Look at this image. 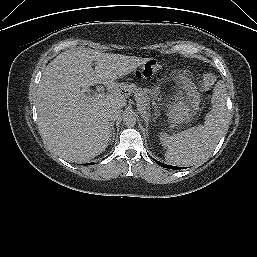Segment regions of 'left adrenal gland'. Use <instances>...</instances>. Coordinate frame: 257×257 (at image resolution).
I'll use <instances>...</instances> for the list:
<instances>
[{
	"instance_id": "left-adrenal-gland-1",
	"label": "left adrenal gland",
	"mask_w": 257,
	"mask_h": 257,
	"mask_svg": "<svg viewBox=\"0 0 257 257\" xmlns=\"http://www.w3.org/2000/svg\"><path fill=\"white\" fill-rule=\"evenodd\" d=\"M143 118H144V121H145V124H146V128H148V125H149V116L148 115H144L143 116Z\"/></svg>"
}]
</instances>
